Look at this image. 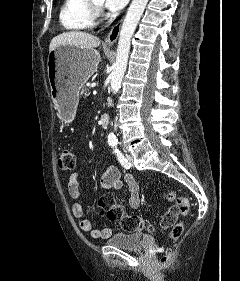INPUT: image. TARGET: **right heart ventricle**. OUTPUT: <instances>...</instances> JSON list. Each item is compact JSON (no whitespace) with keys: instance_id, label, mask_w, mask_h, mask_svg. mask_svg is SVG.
I'll return each instance as SVG.
<instances>
[{"instance_id":"e07e8e85","label":"right heart ventricle","mask_w":240,"mask_h":281,"mask_svg":"<svg viewBox=\"0 0 240 281\" xmlns=\"http://www.w3.org/2000/svg\"><path fill=\"white\" fill-rule=\"evenodd\" d=\"M59 21L68 31L86 30L94 25L87 0H64L60 7Z\"/></svg>"}]
</instances>
